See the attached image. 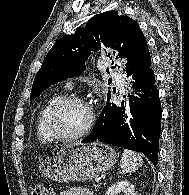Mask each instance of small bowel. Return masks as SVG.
Returning <instances> with one entry per match:
<instances>
[{
    "instance_id": "c3829d8e",
    "label": "small bowel",
    "mask_w": 189,
    "mask_h": 195,
    "mask_svg": "<svg viewBox=\"0 0 189 195\" xmlns=\"http://www.w3.org/2000/svg\"><path fill=\"white\" fill-rule=\"evenodd\" d=\"M60 195H93V193L87 188L74 187L63 191Z\"/></svg>"
}]
</instances>
